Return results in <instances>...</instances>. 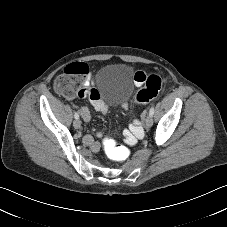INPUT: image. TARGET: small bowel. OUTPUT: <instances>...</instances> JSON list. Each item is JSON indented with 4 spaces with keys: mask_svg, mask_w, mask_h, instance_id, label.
Instances as JSON below:
<instances>
[{
    "mask_svg": "<svg viewBox=\"0 0 227 227\" xmlns=\"http://www.w3.org/2000/svg\"><path fill=\"white\" fill-rule=\"evenodd\" d=\"M78 69L80 74L85 76V81H84V85L85 86H89L91 80H92V73L89 69V67L86 64H78ZM145 75V74H144ZM136 86L139 87V83L135 82ZM92 92V91H91ZM89 90L84 89L83 90V97H86L87 95H90L91 93ZM69 100H72L73 97L72 96H66ZM93 104H94V108L101 112L102 114L106 113V106L105 104L99 100V99H95L93 100ZM80 115L82 117V119L85 122H88L91 118V111L90 109H88L87 107H82L80 109ZM131 131L133 133V135L136 136V138L139 137L140 135V127L138 126V124L132 125L131 126ZM104 136V133L102 131L97 133V137L98 138H102ZM84 142L87 146H89V148L93 151V152H97L101 149V144L98 140H96L93 136H85L84 137Z\"/></svg>",
    "mask_w": 227,
    "mask_h": 227,
    "instance_id": "c3829d8e",
    "label": "small bowel"
}]
</instances>
